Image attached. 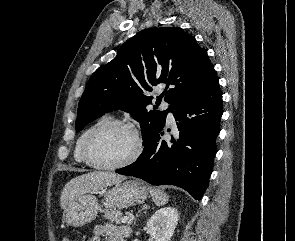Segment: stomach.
Returning <instances> with one entry per match:
<instances>
[{
    "label": "stomach",
    "instance_id": "obj_1",
    "mask_svg": "<svg viewBox=\"0 0 295 241\" xmlns=\"http://www.w3.org/2000/svg\"><path fill=\"white\" fill-rule=\"evenodd\" d=\"M148 196V189L139 180H123L105 190L106 208L124 209L143 203ZM101 206L92 194H84L69 204L63 212L64 222L73 227H81L95 220Z\"/></svg>",
    "mask_w": 295,
    "mask_h": 241
}]
</instances>
